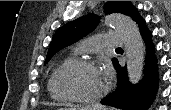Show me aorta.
<instances>
[{
  "mask_svg": "<svg viewBox=\"0 0 171 110\" xmlns=\"http://www.w3.org/2000/svg\"><path fill=\"white\" fill-rule=\"evenodd\" d=\"M105 25L121 35L127 57V75L132 84H137L144 64V44L137 24L128 16L112 14L105 18Z\"/></svg>",
  "mask_w": 171,
  "mask_h": 110,
  "instance_id": "obj_1",
  "label": "aorta"
}]
</instances>
